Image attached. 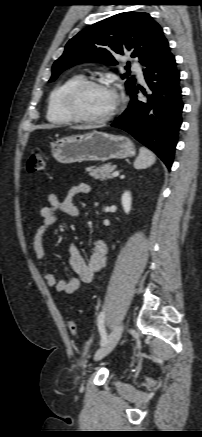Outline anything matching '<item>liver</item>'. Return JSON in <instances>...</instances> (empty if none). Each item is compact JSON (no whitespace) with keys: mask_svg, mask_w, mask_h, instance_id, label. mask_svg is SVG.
<instances>
[{"mask_svg":"<svg viewBox=\"0 0 202 437\" xmlns=\"http://www.w3.org/2000/svg\"><path fill=\"white\" fill-rule=\"evenodd\" d=\"M90 127H88V126H74V127H72V129H80V130H83V129H89Z\"/></svg>","mask_w":202,"mask_h":437,"instance_id":"liver-1","label":"liver"}]
</instances>
